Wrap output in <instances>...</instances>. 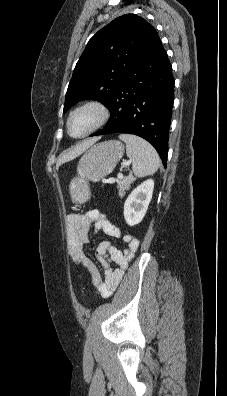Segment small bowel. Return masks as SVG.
I'll list each match as a JSON object with an SVG mask.
<instances>
[{
  "mask_svg": "<svg viewBox=\"0 0 227 396\" xmlns=\"http://www.w3.org/2000/svg\"><path fill=\"white\" fill-rule=\"evenodd\" d=\"M67 248L74 261L89 273L93 285L104 297H109L118 287L130 260L139 248V240L132 235H122L120 229L112 224L99 210L85 214H72L67 217ZM91 226L112 238H122L127 243L124 251L117 249L109 241L103 240L96 249V256L103 267V275L97 266L85 256L84 245L88 242ZM111 263L117 267L112 268Z\"/></svg>",
  "mask_w": 227,
  "mask_h": 396,
  "instance_id": "1",
  "label": "small bowel"
}]
</instances>
